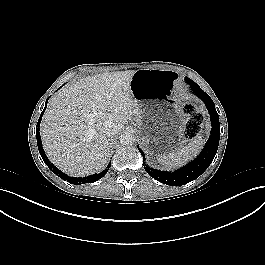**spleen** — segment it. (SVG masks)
I'll return each mask as SVG.
<instances>
[{"label": "spleen", "mask_w": 265, "mask_h": 265, "mask_svg": "<svg viewBox=\"0 0 265 265\" xmlns=\"http://www.w3.org/2000/svg\"><path fill=\"white\" fill-rule=\"evenodd\" d=\"M202 145L203 140L201 137H195L188 145L178 148L175 152L159 156L158 162L166 169L180 167L193 156H196L202 148Z\"/></svg>", "instance_id": "spleen-1"}]
</instances>
